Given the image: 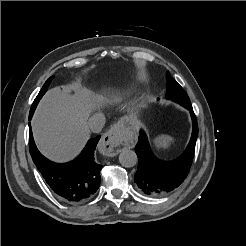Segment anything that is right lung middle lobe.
Masks as SVG:
<instances>
[{"label":"right lung middle lobe","instance_id":"1","mask_svg":"<svg viewBox=\"0 0 246 246\" xmlns=\"http://www.w3.org/2000/svg\"><path fill=\"white\" fill-rule=\"evenodd\" d=\"M53 79V76L48 78L47 81L45 82V84L43 85L42 89L40 90L39 94L37 95V97L35 98L32 106H31V109H30V112H33L35 111V108L38 104V102L40 101V99L42 98V96L46 93L47 89H48V86L50 85L51 81Z\"/></svg>","mask_w":246,"mask_h":246}]
</instances>
